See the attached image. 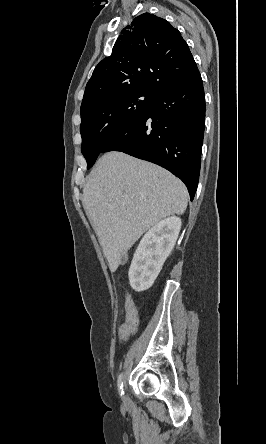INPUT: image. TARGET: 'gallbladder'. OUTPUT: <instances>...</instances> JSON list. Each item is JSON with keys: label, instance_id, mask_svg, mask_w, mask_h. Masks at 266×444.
<instances>
[{"label": "gallbladder", "instance_id": "gallbladder-1", "mask_svg": "<svg viewBox=\"0 0 266 444\" xmlns=\"http://www.w3.org/2000/svg\"><path fill=\"white\" fill-rule=\"evenodd\" d=\"M125 261V256L122 257V263Z\"/></svg>", "mask_w": 266, "mask_h": 444}]
</instances>
